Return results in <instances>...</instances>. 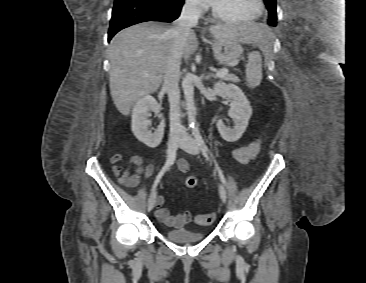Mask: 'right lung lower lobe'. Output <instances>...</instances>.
<instances>
[{
    "mask_svg": "<svg viewBox=\"0 0 366 283\" xmlns=\"http://www.w3.org/2000/svg\"><path fill=\"white\" fill-rule=\"evenodd\" d=\"M184 0H115L108 41L121 29L146 21L172 22Z\"/></svg>",
    "mask_w": 366,
    "mask_h": 283,
    "instance_id": "1",
    "label": "right lung lower lobe"
}]
</instances>
